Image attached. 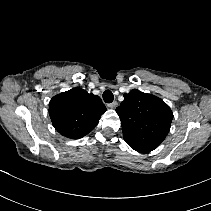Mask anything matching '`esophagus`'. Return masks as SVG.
<instances>
[{
  "instance_id": "esophagus-1",
  "label": "esophagus",
  "mask_w": 211,
  "mask_h": 211,
  "mask_svg": "<svg viewBox=\"0 0 211 211\" xmlns=\"http://www.w3.org/2000/svg\"><path fill=\"white\" fill-rule=\"evenodd\" d=\"M117 105H118V103L116 101H114L112 103H109L108 107L113 109V108H116Z\"/></svg>"
}]
</instances>
